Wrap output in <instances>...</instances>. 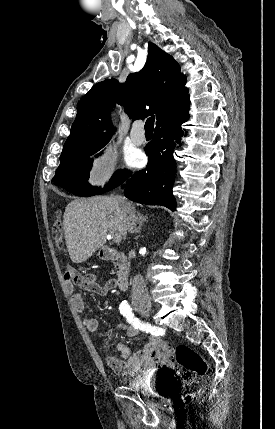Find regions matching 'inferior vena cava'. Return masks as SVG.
Listing matches in <instances>:
<instances>
[{
	"instance_id": "obj_1",
	"label": "inferior vena cava",
	"mask_w": 275,
	"mask_h": 429,
	"mask_svg": "<svg viewBox=\"0 0 275 429\" xmlns=\"http://www.w3.org/2000/svg\"><path fill=\"white\" fill-rule=\"evenodd\" d=\"M125 215L127 231L133 233L136 229L137 216L129 202L122 196H116ZM132 301L136 304L146 303L150 305V298L146 283L141 275H136L132 285Z\"/></svg>"
}]
</instances>
